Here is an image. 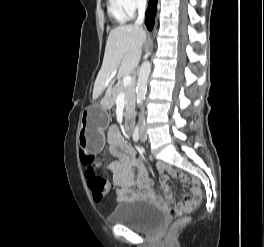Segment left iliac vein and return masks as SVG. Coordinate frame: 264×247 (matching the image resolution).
Instances as JSON below:
<instances>
[{"label":"left iliac vein","mask_w":264,"mask_h":247,"mask_svg":"<svg viewBox=\"0 0 264 247\" xmlns=\"http://www.w3.org/2000/svg\"><path fill=\"white\" fill-rule=\"evenodd\" d=\"M140 139H141V141H146V140H147V135H146L144 129L142 130V133H141V137H140Z\"/></svg>","instance_id":"1"}]
</instances>
